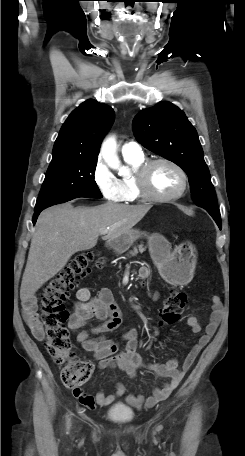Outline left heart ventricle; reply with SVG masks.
<instances>
[{"label": "left heart ventricle", "instance_id": "left-heart-ventricle-1", "mask_svg": "<svg viewBox=\"0 0 245 456\" xmlns=\"http://www.w3.org/2000/svg\"><path fill=\"white\" fill-rule=\"evenodd\" d=\"M149 180L152 191L161 196L174 194L181 186V178L178 172L164 163L157 164L152 168Z\"/></svg>", "mask_w": 245, "mask_h": 456}]
</instances>
